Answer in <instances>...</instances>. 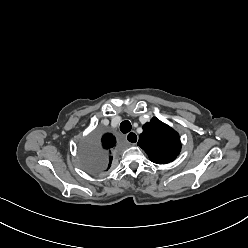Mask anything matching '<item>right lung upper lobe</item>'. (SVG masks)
Masks as SVG:
<instances>
[{
  "label": "right lung upper lobe",
  "mask_w": 248,
  "mask_h": 248,
  "mask_svg": "<svg viewBox=\"0 0 248 248\" xmlns=\"http://www.w3.org/2000/svg\"><path fill=\"white\" fill-rule=\"evenodd\" d=\"M116 144V139L112 134H105L102 138V145L103 147L108 150L109 154H111V149L115 146ZM111 162H112V156H109V165H108V169L111 166Z\"/></svg>",
  "instance_id": "1"
}]
</instances>
